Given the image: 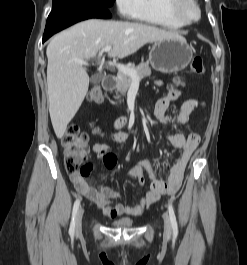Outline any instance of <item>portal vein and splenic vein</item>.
I'll return each instance as SVG.
<instances>
[{
    "label": "portal vein and splenic vein",
    "instance_id": "obj_1",
    "mask_svg": "<svg viewBox=\"0 0 247 265\" xmlns=\"http://www.w3.org/2000/svg\"><path fill=\"white\" fill-rule=\"evenodd\" d=\"M111 49H112V46H110V45L103 47L102 50L99 52V58L102 57L104 52H109V51H111ZM78 62L81 63V64H86L84 61H78ZM102 63H103V61H102ZM108 64L110 66H114L113 62H109ZM116 67H117L119 72H122L125 75L130 76L133 80H138L137 73L133 69L127 68L123 64H117Z\"/></svg>",
    "mask_w": 247,
    "mask_h": 265
}]
</instances>
